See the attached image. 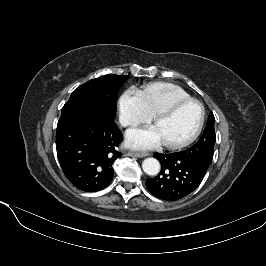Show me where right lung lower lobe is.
I'll return each mask as SVG.
<instances>
[{"label": "right lung lower lobe", "instance_id": "right-lung-lower-lobe-1", "mask_svg": "<svg viewBox=\"0 0 266 266\" xmlns=\"http://www.w3.org/2000/svg\"><path fill=\"white\" fill-rule=\"evenodd\" d=\"M123 136L113 120L79 114L62 115L56 132L57 156L66 178L78 189L95 192L113 179L116 147Z\"/></svg>", "mask_w": 266, "mask_h": 266}]
</instances>
